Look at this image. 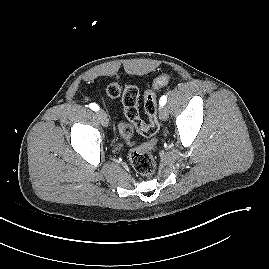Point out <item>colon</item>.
<instances>
[{"label":"colon","instance_id":"colon-1","mask_svg":"<svg viewBox=\"0 0 269 269\" xmlns=\"http://www.w3.org/2000/svg\"><path fill=\"white\" fill-rule=\"evenodd\" d=\"M168 74H162L155 78L151 87L144 94V110L148 116V121L144 122L139 113L138 98L139 91L134 85H127L122 88L118 83H112L107 87L108 97L114 99L122 96L124 114L127 122L119 125L120 135L131 142L134 130L145 137L154 136L159 130L157 116L156 90L165 86L169 81ZM154 143L150 142L142 146L133 148L129 153V160L134 170L144 176L151 177L155 174L157 164L151 153Z\"/></svg>","mask_w":269,"mask_h":269}]
</instances>
